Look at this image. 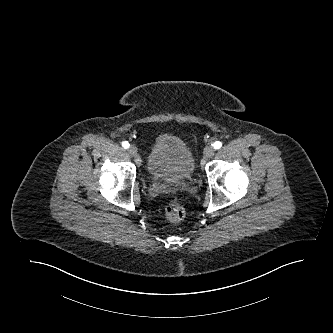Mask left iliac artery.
Instances as JSON below:
<instances>
[{"instance_id": "1", "label": "left iliac artery", "mask_w": 333, "mask_h": 333, "mask_svg": "<svg viewBox=\"0 0 333 333\" xmlns=\"http://www.w3.org/2000/svg\"><path fill=\"white\" fill-rule=\"evenodd\" d=\"M221 146H222V143L220 141H216L213 144L214 149H219V148H221Z\"/></svg>"}]
</instances>
